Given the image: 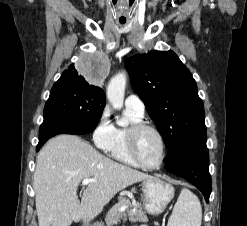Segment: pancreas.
<instances>
[{
  "label": "pancreas",
  "instance_id": "pancreas-1",
  "mask_svg": "<svg viewBox=\"0 0 247 226\" xmlns=\"http://www.w3.org/2000/svg\"><path fill=\"white\" fill-rule=\"evenodd\" d=\"M123 206L128 208L127 212H120L119 209ZM127 217L131 222H146L148 218L140 204L127 199L126 197H120L118 203L113 205V207L106 214L105 222L107 226H113L117 224L121 219L123 221L127 220ZM146 226V225H142Z\"/></svg>",
  "mask_w": 247,
  "mask_h": 226
}]
</instances>
